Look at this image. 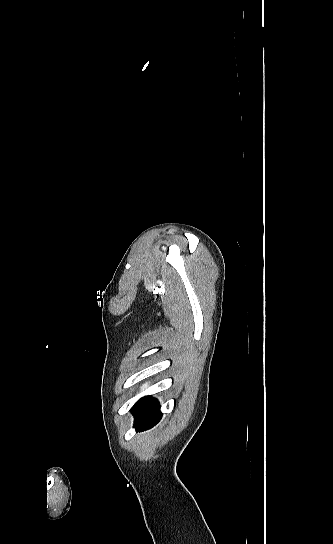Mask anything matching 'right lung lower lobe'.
I'll return each instance as SVG.
<instances>
[{
  "instance_id": "right-lung-lower-lobe-1",
  "label": "right lung lower lobe",
  "mask_w": 333,
  "mask_h": 544,
  "mask_svg": "<svg viewBox=\"0 0 333 544\" xmlns=\"http://www.w3.org/2000/svg\"><path fill=\"white\" fill-rule=\"evenodd\" d=\"M132 413L136 416L135 428L144 431L153 427L161 419V412L157 401L151 396H145L138 400L132 407Z\"/></svg>"
}]
</instances>
